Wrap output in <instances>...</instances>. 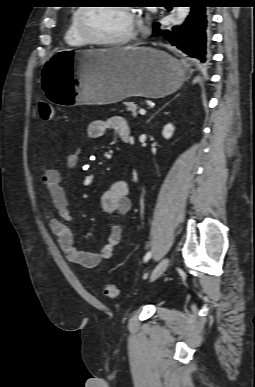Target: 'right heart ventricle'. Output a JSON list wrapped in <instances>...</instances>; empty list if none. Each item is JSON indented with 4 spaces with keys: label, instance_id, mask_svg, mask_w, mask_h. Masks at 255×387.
<instances>
[{
    "label": "right heart ventricle",
    "instance_id": "e07e8e85",
    "mask_svg": "<svg viewBox=\"0 0 255 387\" xmlns=\"http://www.w3.org/2000/svg\"><path fill=\"white\" fill-rule=\"evenodd\" d=\"M78 10L79 8L74 9L70 16L64 39L65 42L70 46L83 47L89 43L81 37L76 27V16Z\"/></svg>",
    "mask_w": 255,
    "mask_h": 387
}]
</instances>
